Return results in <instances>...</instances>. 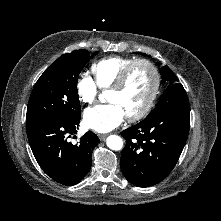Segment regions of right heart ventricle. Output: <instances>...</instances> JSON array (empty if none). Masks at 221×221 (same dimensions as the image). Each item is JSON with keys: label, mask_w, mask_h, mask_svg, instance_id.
<instances>
[{"label": "right heart ventricle", "mask_w": 221, "mask_h": 221, "mask_svg": "<svg viewBox=\"0 0 221 221\" xmlns=\"http://www.w3.org/2000/svg\"><path fill=\"white\" fill-rule=\"evenodd\" d=\"M134 60L130 57L110 56L93 63L91 72L98 88L102 90L110 89L121 71Z\"/></svg>", "instance_id": "obj_1"}]
</instances>
